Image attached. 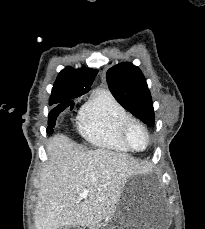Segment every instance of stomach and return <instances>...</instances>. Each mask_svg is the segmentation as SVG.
Listing matches in <instances>:
<instances>
[{
  "label": "stomach",
  "mask_w": 205,
  "mask_h": 229,
  "mask_svg": "<svg viewBox=\"0 0 205 229\" xmlns=\"http://www.w3.org/2000/svg\"><path fill=\"white\" fill-rule=\"evenodd\" d=\"M171 221L168 205L158 196L142 195L128 186L101 229H168Z\"/></svg>",
  "instance_id": "obj_1"
}]
</instances>
